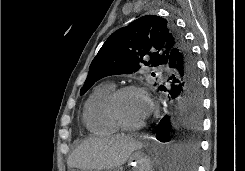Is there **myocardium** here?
I'll return each mask as SVG.
<instances>
[{"mask_svg":"<svg viewBox=\"0 0 245 171\" xmlns=\"http://www.w3.org/2000/svg\"><path fill=\"white\" fill-rule=\"evenodd\" d=\"M129 92L139 93L145 97L147 102H149V95L143 87L135 85V84L124 85V86H121L115 89L110 94L108 101H107V112L111 120L114 122V124L119 129L125 130V131H135V130H139L142 127H144L145 120H143L142 122L138 124H127L121 119L119 110H118V104H119L120 98L124 94L129 93Z\"/></svg>","mask_w":245,"mask_h":171,"instance_id":"1","label":"myocardium"}]
</instances>
